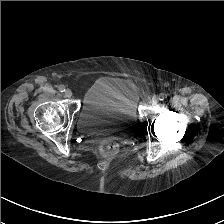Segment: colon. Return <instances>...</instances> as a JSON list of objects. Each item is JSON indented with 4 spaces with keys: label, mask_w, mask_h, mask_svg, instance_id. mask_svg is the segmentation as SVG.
<instances>
[{
    "label": "colon",
    "mask_w": 224,
    "mask_h": 224,
    "mask_svg": "<svg viewBox=\"0 0 224 224\" xmlns=\"http://www.w3.org/2000/svg\"><path fill=\"white\" fill-rule=\"evenodd\" d=\"M101 151L108 156L114 155L118 151V145L115 142L111 141L104 142L101 145Z\"/></svg>",
    "instance_id": "1"
}]
</instances>
